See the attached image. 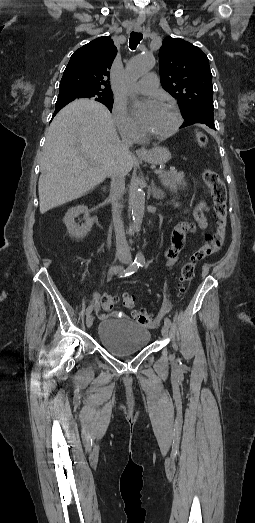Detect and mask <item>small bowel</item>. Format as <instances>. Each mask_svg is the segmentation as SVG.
Instances as JSON below:
<instances>
[{
	"mask_svg": "<svg viewBox=\"0 0 255 523\" xmlns=\"http://www.w3.org/2000/svg\"><path fill=\"white\" fill-rule=\"evenodd\" d=\"M208 211V207L205 202H199L193 209V216L195 223L190 222H180L176 225L172 232L171 245L165 251L164 255L167 259L168 269H171L178 260L180 251L182 250L186 236L189 232H192L199 227L205 229L207 227V219L205 213ZM121 267H112L111 271L117 273L121 270ZM100 298L99 294L94 295V299L97 302Z\"/></svg>",
	"mask_w": 255,
	"mask_h": 523,
	"instance_id": "1",
	"label": "small bowel"
}]
</instances>
